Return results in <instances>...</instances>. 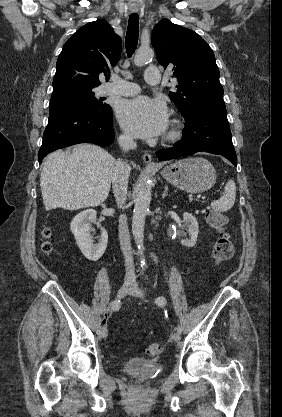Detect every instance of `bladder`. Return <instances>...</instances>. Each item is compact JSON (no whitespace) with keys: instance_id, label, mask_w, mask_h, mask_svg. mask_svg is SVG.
Instances as JSON below:
<instances>
[{"instance_id":"31cf9c89","label":"bladder","mask_w":282,"mask_h":417,"mask_svg":"<svg viewBox=\"0 0 282 417\" xmlns=\"http://www.w3.org/2000/svg\"><path fill=\"white\" fill-rule=\"evenodd\" d=\"M160 366L153 360L139 357L126 359L122 364V371L137 380L146 381L155 377Z\"/></svg>"}]
</instances>
